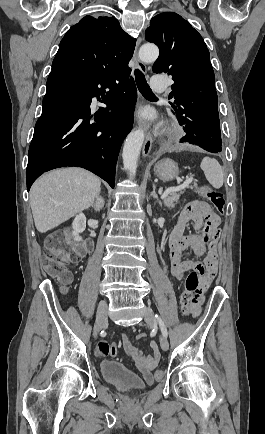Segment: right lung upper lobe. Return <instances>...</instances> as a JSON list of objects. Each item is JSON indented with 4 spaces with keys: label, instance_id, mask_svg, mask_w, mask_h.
Returning a JSON list of instances; mask_svg holds the SVG:
<instances>
[{
    "label": "right lung upper lobe",
    "instance_id": "cb5924a9",
    "mask_svg": "<svg viewBox=\"0 0 265 434\" xmlns=\"http://www.w3.org/2000/svg\"><path fill=\"white\" fill-rule=\"evenodd\" d=\"M136 40L114 16H85L60 42L52 71L103 73L128 64Z\"/></svg>",
    "mask_w": 265,
    "mask_h": 434
}]
</instances>
